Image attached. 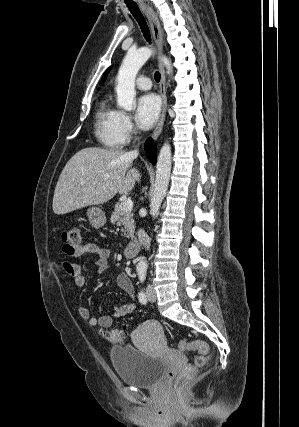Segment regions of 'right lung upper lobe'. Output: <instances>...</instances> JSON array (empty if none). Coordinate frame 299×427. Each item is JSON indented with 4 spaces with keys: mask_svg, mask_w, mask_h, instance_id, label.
<instances>
[{
    "mask_svg": "<svg viewBox=\"0 0 299 427\" xmlns=\"http://www.w3.org/2000/svg\"><path fill=\"white\" fill-rule=\"evenodd\" d=\"M110 68L104 73L103 77H102V81L100 84L103 83V81L106 79L107 73L109 72Z\"/></svg>",
    "mask_w": 299,
    "mask_h": 427,
    "instance_id": "obj_1",
    "label": "right lung upper lobe"
}]
</instances>
